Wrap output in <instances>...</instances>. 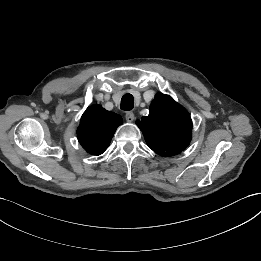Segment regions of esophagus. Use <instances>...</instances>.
Segmentation results:
<instances>
[{"label":"esophagus","mask_w":261,"mask_h":261,"mask_svg":"<svg viewBox=\"0 0 261 261\" xmlns=\"http://www.w3.org/2000/svg\"><path fill=\"white\" fill-rule=\"evenodd\" d=\"M125 119L127 122H133L135 119L134 113L133 112H126L125 114Z\"/></svg>","instance_id":"obj_1"}]
</instances>
